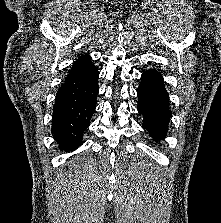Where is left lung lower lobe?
<instances>
[{"label": "left lung lower lobe", "instance_id": "1", "mask_svg": "<svg viewBox=\"0 0 221 223\" xmlns=\"http://www.w3.org/2000/svg\"><path fill=\"white\" fill-rule=\"evenodd\" d=\"M137 96L138 112L144 116L143 128L156 140L164 138L168 131L171 111L162 75L154 69L144 72Z\"/></svg>", "mask_w": 221, "mask_h": 223}]
</instances>
